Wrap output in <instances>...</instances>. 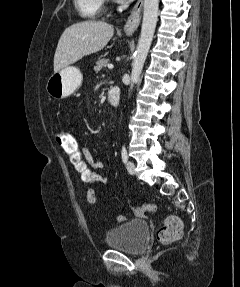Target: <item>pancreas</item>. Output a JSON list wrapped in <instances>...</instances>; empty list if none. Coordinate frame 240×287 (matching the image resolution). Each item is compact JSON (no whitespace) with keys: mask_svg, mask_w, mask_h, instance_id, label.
<instances>
[{"mask_svg":"<svg viewBox=\"0 0 240 287\" xmlns=\"http://www.w3.org/2000/svg\"><path fill=\"white\" fill-rule=\"evenodd\" d=\"M110 63L109 59L103 58L99 59L94 66V71L98 73L100 70L104 69Z\"/></svg>","mask_w":240,"mask_h":287,"instance_id":"obj_1","label":"pancreas"}]
</instances>
